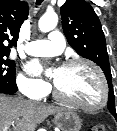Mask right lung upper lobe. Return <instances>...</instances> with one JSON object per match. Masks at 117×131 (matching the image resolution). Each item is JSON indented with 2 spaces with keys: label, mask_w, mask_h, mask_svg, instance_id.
I'll use <instances>...</instances> for the list:
<instances>
[{
  "label": "right lung upper lobe",
  "mask_w": 117,
  "mask_h": 131,
  "mask_svg": "<svg viewBox=\"0 0 117 131\" xmlns=\"http://www.w3.org/2000/svg\"><path fill=\"white\" fill-rule=\"evenodd\" d=\"M28 4L20 0H0V52L10 53L20 27L28 17Z\"/></svg>",
  "instance_id": "obj_1"
}]
</instances>
